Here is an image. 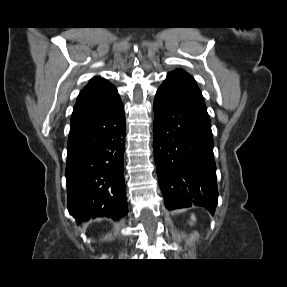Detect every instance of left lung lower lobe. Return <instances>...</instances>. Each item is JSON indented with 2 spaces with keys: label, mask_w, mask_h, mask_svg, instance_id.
I'll return each mask as SVG.
<instances>
[{
  "label": "left lung lower lobe",
  "mask_w": 287,
  "mask_h": 287,
  "mask_svg": "<svg viewBox=\"0 0 287 287\" xmlns=\"http://www.w3.org/2000/svg\"><path fill=\"white\" fill-rule=\"evenodd\" d=\"M154 157L167 209L205 207L218 198L210 120L161 85L154 100Z\"/></svg>",
  "instance_id": "1"
}]
</instances>
